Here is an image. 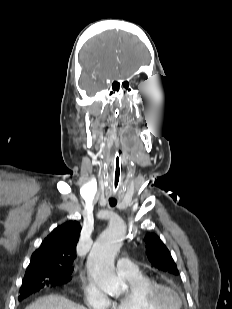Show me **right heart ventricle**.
Masks as SVG:
<instances>
[{"label": "right heart ventricle", "mask_w": 232, "mask_h": 309, "mask_svg": "<svg viewBox=\"0 0 232 309\" xmlns=\"http://www.w3.org/2000/svg\"><path fill=\"white\" fill-rule=\"evenodd\" d=\"M124 278L129 285V292L122 298L111 301L110 309H151L144 300V294L154 281L142 272Z\"/></svg>", "instance_id": "obj_1"}]
</instances>
